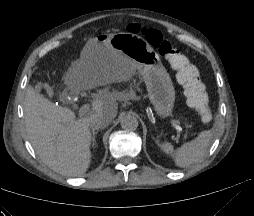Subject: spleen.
Masks as SVG:
<instances>
[{
    "label": "spleen",
    "instance_id": "spleen-1",
    "mask_svg": "<svg viewBox=\"0 0 254 216\" xmlns=\"http://www.w3.org/2000/svg\"><path fill=\"white\" fill-rule=\"evenodd\" d=\"M212 137L213 131L205 130L200 132L196 139L183 144L176 150H174L171 143L167 142L161 145V149L173 157L178 167L185 168L200 161L204 157Z\"/></svg>",
    "mask_w": 254,
    "mask_h": 216
}]
</instances>
